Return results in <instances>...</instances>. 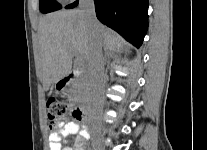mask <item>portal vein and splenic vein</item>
<instances>
[{"label":"portal vein and splenic vein","instance_id":"obj_1","mask_svg":"<svg viewBox=\"0 0 207 150\" xmlns=\"http://www.w3.org/2000/svg\"><path fill=\"white\" fill-rule=\"evenodd\" d=\"M77 64L80 66V65H83L82 64V61L77 57Z\"/></svg>","mask_w":207,"mask_h":150}]
</instances>
